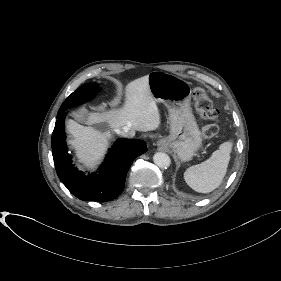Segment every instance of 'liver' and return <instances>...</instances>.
Returning a JSON list of instances; mask_svg holds the SVG:
<instances>
[{
	"instance_id": "1",
	"label": "liver",
	"mask_w": 281,
	"mask_h": 281,
	"mask_svg": "<svg viewBox=\"0 0 281 281\" xmlns=\"http://www.w3.org/2000/svg\"><path fill=\"white\" fill-rule=\"evenodd\" d=\"M87 123L108 122L113 129L128 127L132 132L152 131L160 126V114L156 102L150 92L148 75L136 79L125 88L123 108L104 114L89 113ZM67 129L73 136L69 143L75 148L79 161L88 168H93L108 147V133H102L80 125L74 120L67 122Z\"/></svg>"
}]
</instances>
